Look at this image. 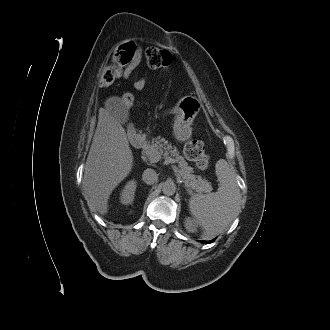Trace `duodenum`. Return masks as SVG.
Returning <instances> with one entry per match:
<instances>
[{
	"label": "duodenum",
	"mask_w": 330,
	"mask_h": 330,
	"mask_svg": "<svg viewBox=\"0 0 330 330\" xmlns=\"http://www.w3.org/2000/svg\"><path fill=\"white\" fill-rule=\"evenodd\" d=\"M128 137L135 147H140L145 140L144 135L136 132L134 129L128 131Z\"/></svg>",
	"instance_id": "duodenum-1"
}]
</instances>
